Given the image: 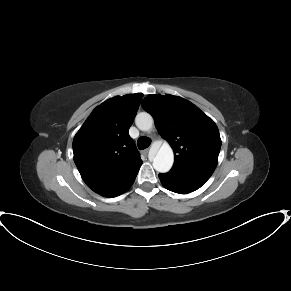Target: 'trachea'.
Masks as SVG:
<instances>
[{"label":"trachea","instance_id":"obj_1","mask_svg":"<svg viewBox=\"0 0 291 291\" xmlns=\"http://www.w3.org/2000/svg\"><path fill=\"white\" fill-rule=\"evenodd\" d=\"M151 143V140L148 138V137H140L137 141V145H138V148L140 150H143L145 148H147Z\"/></svg>","mask_w":291,"mask_h":291}]
</instances>
